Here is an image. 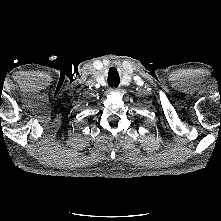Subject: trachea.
Wrapping results in <instances>:
<instances>
[{"label":"trachea","mask_w":221,"mask_h":221,"mask_svg":"<svg viewBox=\"0 0 221 221\" xmlns=\"http://www.w3.org/2000/svg\"><path fill=\"white\" fill-rule=\"evenodd\" d=\"M120 83L119 74L116 68H111L108 74V84L111 87H117Z\"/></svg>","instance_id":"trachea-1"}]
</instances>
